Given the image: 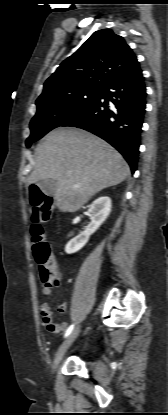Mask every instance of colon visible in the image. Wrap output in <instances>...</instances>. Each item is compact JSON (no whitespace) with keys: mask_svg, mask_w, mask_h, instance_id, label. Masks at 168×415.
Instances as JSON below:
<instances>
[{"mask_svg":"<svg viewBox=\"0 0 168 415\" xmlns=\"http://www.w3.org/2000/svg\"><path fill=\"white\" fill-rule=\"evenodd\" d=\"M30 201L33 220L31 227L33 255L39 266L42 281L45 285L53 286L58 282L57 266L42 226V223L46 222L50 217L51 201L38 188L30 191Z\"/></svg>","mask_w":168,"mask_h":415,"instance_id":"5ec220e1","label":"colon"}]
</instances>
